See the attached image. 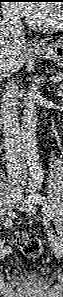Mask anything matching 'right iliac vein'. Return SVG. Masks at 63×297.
I'll list each match as a JSON object with an SVG mask.
<instances>
[{
    "instance_id": "63e3f726",
    "label": "right iliac vein",
    "mask_w": 63,
    "mask_h": 297,
    "mask_svg": "<svg viewBox=\"0 0 63 297\" xmlns=\"http://www.w3.org/2000/svg\"><path fill=\"white\" fill-rule=\"evenodd\" d=\"M18 195H16L15 193L11 194L8 198L9 200V209L12 208L13 204L17 201ZM9 252L6 251L5 249H1L0 250V258L3 259L5 257L6 254H8Z\"/></svg>"
}]
</instances>
